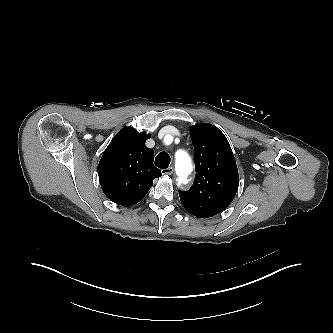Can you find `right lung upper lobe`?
<instances>
[{"label": "right lung upper lobe", "instance_id": "obj_1", "mask_svg": "<svg viewBox=\"0 0 333 333\" xmlns=\"http://www.w3.org/2000/svg\"><path fill=\"white\" fill-rule=\"evenodd\" d=\"M149 134L132 127L120 130L104 151L98 165L104 194L122 206L138 203L161 171L153 165L154 151L147 148Z\"/></svg>", "mask_w": 333, "mask_h": 333}]
</instances>
